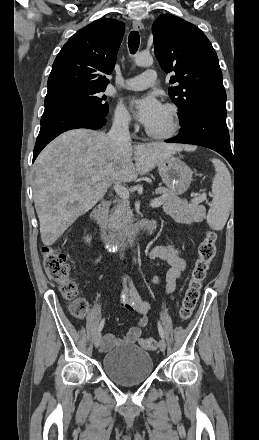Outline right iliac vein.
Listing matches in <instances>:
<instances>
[{"instance_id":"right-iliac-vein-1","label":"right iliac vein","mask_w":259,"mask_h":440,"mask_svg":"<svg viewBox=\"0 0 259 440\" xmlns=\"http://www.w3.org/2000/svg\"><path fill=\"white\" fill-rule=\"evenodd\" d=\"M100 343H101V333H97V335L94 338L95 347L98 348Z\"/></svg>"}]
</instances>
